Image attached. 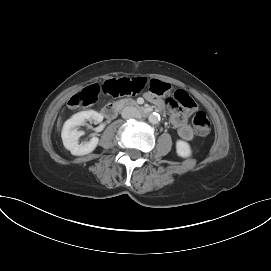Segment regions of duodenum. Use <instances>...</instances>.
<instances>
[{
    "label": "duodenum",
    "mask_w": 271,
    "mask_h": 271,
    "mask_svg": "<svg viewBox=\"0 0 271 271\" xmlns=\"http://www.w3.org/2000/svg\"><path fill=\"white\" fill-rule=\"evenodd\" d=\"M128 104H130V103H128V102H111V103H108L102 109V114L107 119H113L114 117H116L118 111L124 105H128ZM136 109H137L138 113L141 114L142 116H147L152 112V110L147 109V108H143V107H140V106H137Z\"/></svg>",
    "instance_id": "1"
}]
</instances>
